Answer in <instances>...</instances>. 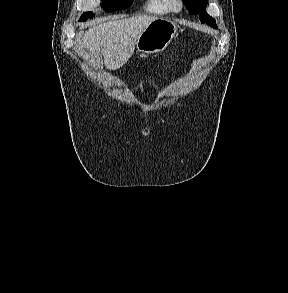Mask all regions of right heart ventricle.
Instances as JSON below:
<instances>
[{
  "mask_svg": "<svg viewBox=\"0 0 288 293\" xmlns=\"http://www.w3.org/2000/svg\"><path fill=\"white\" fill-rule=\"evenodd\" d=\"M144 9L154 14H166L172 10L168 0H146Z\"/></svg>",
  "mask_w": 288,
  "mask_h": 293,
  "instance_id": "1",
  "label": "right heart ventricle"
}]
</instances>
